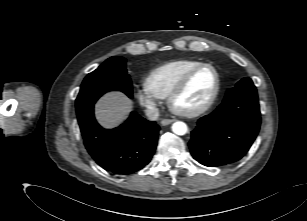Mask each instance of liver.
Here are the masks:
<instances>
[{
	"mask_svg": "<svg viewBox=\"0 0 307 221\" xmlns=\"http://www.w3.org/2000/svg\"><path fill=\"white\" fill-rule=\"evenodd\" d=\"M133 102L121 92H109L96 104L95 114L104 128H114L122 123L132 110Z\"/></svg>",
	"mask_w": 307,
	"mask_h": 221,
	"instance_id": "obj_1",
	"label": "liver"
}]
</instances>
